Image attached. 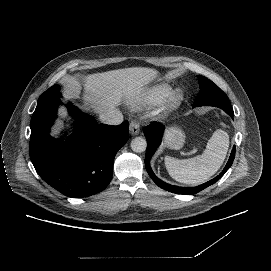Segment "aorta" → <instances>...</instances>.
<instances>
[{"instance_id":"762f6f07","label":"aorta","mask_w":271,"mask_h":271,"mask_svg":"<svg viewBox=\"0 0 271 271\" xmlns=\"http://www.w3.org/2000/svg\"><path fill=\"white\" fill-rule=\"evenodd\" d=\"M147 148V142L144 138L142 137H137L132 140L131 142V149L135 153H143Z\"/></svg>"}]
</instances>
